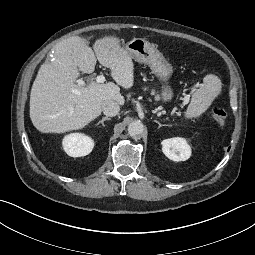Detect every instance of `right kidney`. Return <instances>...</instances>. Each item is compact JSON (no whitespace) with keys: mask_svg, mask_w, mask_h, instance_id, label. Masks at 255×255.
<instances>
[{"mask_svg":"<svg viewBox=\"0 0 255 255\" xmlns=\"http://www.w3.org/2000/svg\"><path fill=\"white\" fill-rule=\"evenodd\" d=\"M62 145L69 156L81 157L88 155L92 151L94 141L83 133H71L63 138Z\"/></svg>","mask_w":255,"mask_h":255,"instance_id":"right-kidney-1","label":"right kidney"}]
</instances>
